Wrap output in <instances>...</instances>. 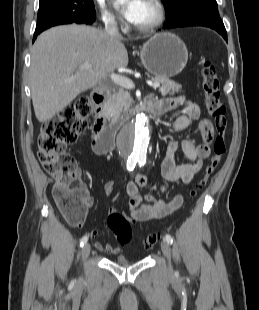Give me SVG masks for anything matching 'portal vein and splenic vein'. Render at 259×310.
I'll return each mask as SVG.
<instances>
[{"instance_id":"obj_1","label":"portal vein and splenic vein","mask_w":259,"mask_h":310,"mask_svg":"<svg viewBox=\"0 0 259 310\" xmlns=\"http://www.w3.org/2000/svg\"><path fill=\"white\" fill-rule=\"evenodd\" d=\"M92 67V65L90 63H83L81 66H80V69H90ZM110 79L117 85L123 87V88H126V89H134L135 88V84L133 83L132 80H130L129 78L125 77V76H122V75H119V74H115V73H112L110 74ZM148 84L154 88V89H157L160 87V83L159 82H148Z\"/></svg>"}]
</instances>
